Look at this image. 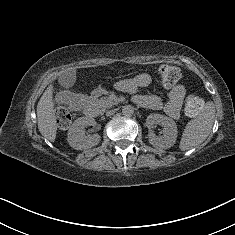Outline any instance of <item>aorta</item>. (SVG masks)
Masks as SVG:
<instances>
[{"label": "aorta", "instance_id": "1", "mask_svg": "<svg viewBox=\"0 0 235 235\" xmlns=\"http://www.w3.org/2000/svg\"><path fill=\"white\" fill-rule=\"evenodd\" d=\"M122 113H123V115H125V116H132V114L134 113V108H133V106H131V105H125V106H123V108H122Z\"/></svg>", "mask_w": 235, "mask_h": 235}]
</instances>
